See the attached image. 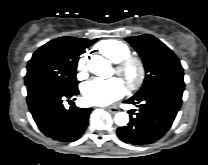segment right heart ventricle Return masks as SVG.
<instances>
[{
  "label": "right heart ventricle",
  "mask_w": 208,
  "mask_h": 165,
  "mask_svg": "<svg viewBox=\"0 0 208 165\" xmlns=\"http://www.w3.org/2000/svg\"><path fill=\"white\" fill-rule=\"evenodd\" d=\"M96 48L102 55L114 63L129 56L131 53L129 46L126 43L116 39L102 40L97 44Z\"/></svg>",
  "instance_id": "obj_1"
}]
</instances>
